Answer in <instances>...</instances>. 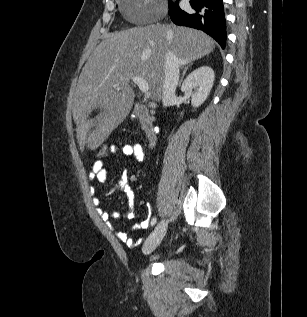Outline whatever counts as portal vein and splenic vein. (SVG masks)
<instances>
[{"label": "portal vein and splenic vein", "instance_id": "obj_1", "mask_svg": "<svg viewBox=\"0 0 307 317\" xmlns=\"http://www.w3.org/2000/svg\"><path fill=\"white\" fill-rule=\"evenodd\" d=\"M132 81L139 87V89L142 93L148 94L149 85H148V82L146 80H144L141 77H133Z\"/></svg>", "mask_w": 307, "mask_h": 317}]
</instances>
